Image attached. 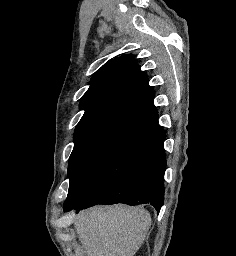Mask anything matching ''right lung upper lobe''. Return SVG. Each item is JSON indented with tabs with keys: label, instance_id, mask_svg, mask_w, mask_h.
I'll return each mask as SVG.
<instances>
[{
	"label": "right lung upper lobe",
	"instance_id": "cb5924a9",
	"mask_svg": "<svg viewBox=\"0 0 236 256\" xmlns=\"http://www.w3.org/2000/svg\"><path fill=\"white\" fill-rule=\"evenodd\" d=\"M153 99L152 87L137 60L125 54L109 60L94 74L81 99L85 112L79 123L119 115L155 125L158 114Z\"/></svg>",
	"mask_w": 236,
	"mask_h": 256
}]
</instances>
